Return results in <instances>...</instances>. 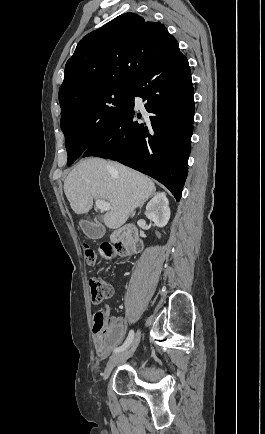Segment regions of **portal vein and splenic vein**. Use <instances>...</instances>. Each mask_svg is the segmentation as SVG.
I'll use <instances>...</instances> for the list:
<instances>
[{
	"instance_id": "1",
	"label": "portal vein and splenic vein",
	"mask_w": 265,
	"mask_h": 434,
	"mask_svg": "<svg viewBox=\"0 0 265 434\" xmlns=\"http://www.w3.org/2000/svg\"><path fill=\"white\" fill-rule=\"evenodd\" d=\"M95 206L98 208V210H101V212H108V210L111 208V204H109V202H105V200H96Z\"/></svg>"
}]
</instances>
